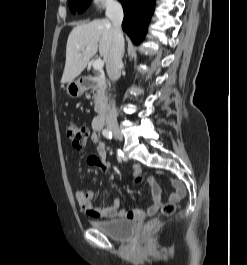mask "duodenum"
I'll return each mask as SVG.
<instances>
[{"mask_svg":"<svg viewBox=\"0 0 247 265\" xmlns=\"http://www.w3.org/2000/svg\"><path fill=\"white\" fill-rule=\"evenodd\" d=\"M96 80H102L105 81L106 77H101L99 79H94L90 76H86L83 77L81 80V84L84 87H90ZM109 111V106L108 105H104L101 107V109L99 110V113L95 116L94 120H93V128L95 131H100V129L102 128L104 121L107 117Z\"/></svg>","mask_w":247,"mask_h":265,"instance_id":"obj_1","label":"duodenum"}]
</instances>
